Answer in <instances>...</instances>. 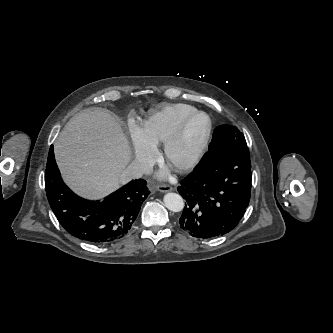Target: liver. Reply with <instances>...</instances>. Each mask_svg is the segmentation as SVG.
I'll return each mask as SVG.
<instances>
[{
    "label": "liver",
    "instance_id": "liver-1",
    "mask_svg": "<svg viewBox=\"0 0 333 333\" xmlns=\"http://www.w3.org/2000/svg\"><path fill=\"white\" fill-rule=\"evenodd\" d=\"M54 153L66 184L89 199L117 189L131 158L120 124L100 108L72 117L55 141Z\"/></svg>",
    "mask_w": 333,
    "mask_h": 333
}]
</instances>
